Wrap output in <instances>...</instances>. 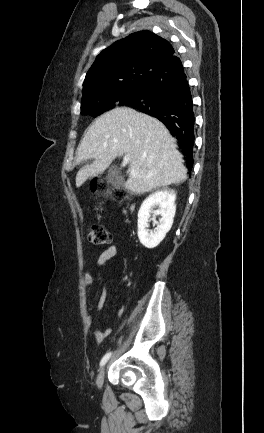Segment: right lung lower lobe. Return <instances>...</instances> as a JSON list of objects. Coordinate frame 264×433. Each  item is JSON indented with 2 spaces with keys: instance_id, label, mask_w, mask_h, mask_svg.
<instances>
[{
  "instance_id": "1",
  "label": "right lung lower lobe",
  "mask_w": 264,
  "mask_h": 433,
  "mask_svg": "<svg viewBox=\"0 0 264 433\" xmlns=\"http://www.w3.org/2000/svg\"><path fill=\"white\" fill-rule=\"evenodd\" d=\"M160 120L176 137L188 169L193 166L194 112L184 68L177 54L166 60L141 84L136 96L124 103Z\"/></svg>"
}]
</instances>
